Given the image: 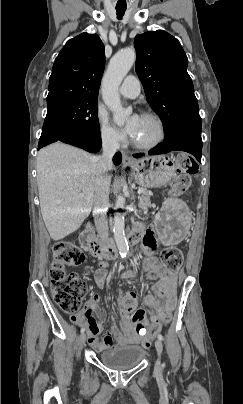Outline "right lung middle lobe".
I'll use <instances>...</instances> for the list:
<instances>
[{"label": "right lung middle lobe", "instance_id": "dd1d6c3e", "mask_svg": "<svg viewBox=\"0 0 243 404\" xmlns=\"http://www.w3.org/2000/svg\"><path fill=\"white\" fill-rule=\"evenodd\" d=\"M68 132L100 136L97 99L63 100L48 105L38 150Z\"/></svg>", "mask_w": 243, "mask_h": 404}]
</instances>
